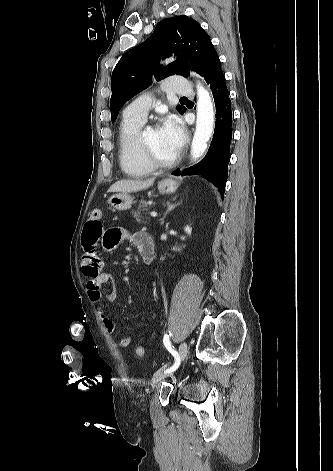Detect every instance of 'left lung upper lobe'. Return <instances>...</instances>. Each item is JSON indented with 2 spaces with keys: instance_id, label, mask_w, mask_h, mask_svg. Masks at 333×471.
Here are the masks:
<instances>
[{
  "instance_id": "1",
  "label": "left lung upper lobe",
  "mask_w": 333,
  "mask_h": 471,
  "mask_svg": "<svg viewBox=\"0 0 333 471\" xmlns=\"http://www.w3.org/2000/svg\"><path fill=\"white\" fill-rule=\"evenodd\" d=\"M214 52L209 35L194 19L180 15L160 21L152 35L126 52L112 72V122L130 98L151 85L153 74L156 80L173 74L187 77L189 69L201 74ZM172 53L177 55L176 62L166 67L158 63L159 57L165 58ZM177 110L184 113L186 108L178 105Z\"/></svg>"
}]
</instances>
